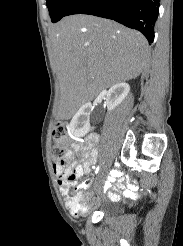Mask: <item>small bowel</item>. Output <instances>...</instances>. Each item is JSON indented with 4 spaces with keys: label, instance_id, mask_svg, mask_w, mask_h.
I'll list each match as a JSON object with an SVG mask.
<instances>
[{
    "label": "small bowel",
    "instance_id": "1",
    "mask_svg": "<svg viewBox=\"0 0 183 246\" xmlns=\"http://www.w3.org/2000/svg\"><path fill=\"white\" fill-rule=\"evenodd\" d=\"M97 143L98 136H89L82 145L70 144L68 146L67 161L69 164L66 166L55 162L53 165L54 174L57 178V183L61 194L66 199V204L71 210L73 215H80L85 212H79L72 208V201L76 196H82L84 200L89 204V207L94 203L95 197L92 195L85 196L83 191L89 189L90 182L85 181L79 187L76 194H71L70 190L72 184L68 181V178H79L84 174L91 172V166L93 161L97 157ZM81 151L85 158L83 164L74 160L75 153ZM124 169H110L111 179L106 180L103 184V192L107 194L111 200H118L122 193L126 198H135V190L141 189V184H125V179H131V174H124ZM122 174V175H121ZM114 179H117L116 181ZM112 185H115L112 187ZM88 211V210H87ZM86 211V212H87Z\"/></svg>",
    "mask_w": 183,
    "mask_h": 246
}]
</instances>
